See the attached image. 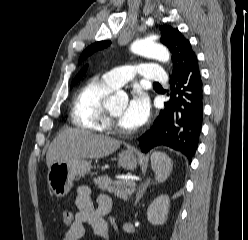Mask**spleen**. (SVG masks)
Segmentation results:
<instances>
[{"label":"spleen","mask_w":248,"mask_h":240,"mask_svg":"<svg viewBox=\"0 0 248 240\" xmlns=\"http://www.w3.org/2000/svg\"><path fill=\"white\" fill-rule=\"evenodd\" d=\"M151 167L155 173L156 181L160 183L169 177L173 162L165 153L155 151L151 155Z\"/></svg>","instance_id":"spleen-1"}]
</instances>
